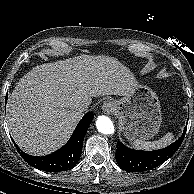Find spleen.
<instances>
[{
    "label": "spleen",
    "mask_w": 194,
    "mask_h": 194,
    "mask_svg": "<svg viewBox=\"0 0 194 194\" xmlns=\"http://www.w3.org/2000/svg\"><path fill=\"white\" fill-rule=\"evenodd\" d=\"M173 139H174V135L168 132L166 135H164L161 139L157 141L150 142L142 139H135L133 141V145L138 149H144V150L159 149L169 145L173 141Z\"/></svg>",
    "instance_id": "obj_1"
}]
</instances>
